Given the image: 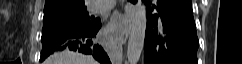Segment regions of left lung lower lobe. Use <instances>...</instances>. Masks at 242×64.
<instances>
[{"mask_svg":"<svg viewBox=\"0 0 242 64\" xmlns=\"http://www.w3.org/2000/svg\"><path fill=\"white\" fill-rule=\"evenodd\" d=\"M156 8L158 14L151 12ZM144 64H198L199 40L191 0H158L150 6Z\"/></svg>","mask_w":242,"mask_h":64,"instance_id":"left-lung-lower-lobe-1","label":"left lung lower lobe"}]
</instances>
